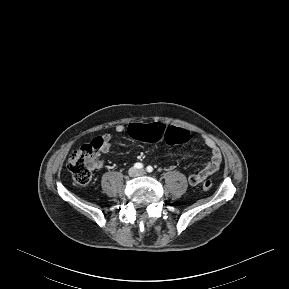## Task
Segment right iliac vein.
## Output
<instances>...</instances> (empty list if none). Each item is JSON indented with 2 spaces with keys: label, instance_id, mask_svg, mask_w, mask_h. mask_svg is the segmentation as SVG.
Returning a JSON list of instances; mask_svg holds the SVG:
<instances>
[{
  "label": "right iliac vein",
  "instance_id": "63e3f726",
  "mask_svg": "<svg viewBox=\"0 0 289 289\" xmlns=\"http://www.w3.org/2000/svg\"><path fill=\"white\" fill-rule=\"evenodd\" d=\"M128 173L131 177H134L137 175V170L135 168H131Z\"/></svg>",
  "mask_w": 289,
  "mask_h": 289
}]
</instances>
